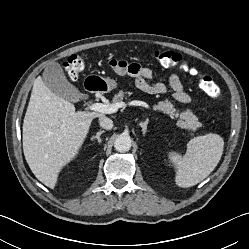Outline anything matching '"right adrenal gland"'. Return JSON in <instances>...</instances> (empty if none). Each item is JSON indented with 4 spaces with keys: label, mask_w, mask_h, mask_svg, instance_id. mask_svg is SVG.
I'll list each match as a JSON object with an SVG mask.
<instances>
[{
    "label": "right adrenal gland",
    "mask_w": 249,
    "mask_h": 249,
    "mask_svg": "<svg viewBox=\"0 0 249 249\" xmlns=\"http://www.w3.org/2000/svg\"><path fill=\"white\" fill-rule=\"evenodd\" d=\"M104 133V130H101V131H99V132H97L96 133V135L95 136H92V140H94V139H97V141H98V143L100 144L101 143V135Z\"/></svg>",
    "instance_id": "2a0ac1e0"
}]
</instances>
